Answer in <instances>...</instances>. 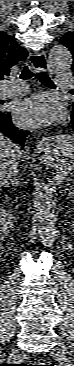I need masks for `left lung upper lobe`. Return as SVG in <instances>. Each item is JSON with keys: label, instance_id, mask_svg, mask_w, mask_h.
Instances as JSON below:
<instances>
[{"label": "left lung upper lobe", "instance_id": "left-lung-upper-lobe-1", "mask_svg": "<svg viewBox=\"0 0 74 366\" xmlns=\"http://www.w3.org/2000/svg\"><path fill=\"white\" fill-rule=\"evenodd\" d=\"M60 43L70 50V52L73 54V60H74V32L69 31L65 33L60 38ZM73 68H74V62H73ZM71 93L74 95V89L71 91Z\"/></svg>", "mask_w": 74, "mask_h": 366}]
</instances>
